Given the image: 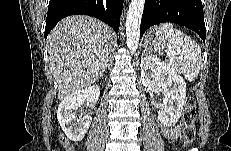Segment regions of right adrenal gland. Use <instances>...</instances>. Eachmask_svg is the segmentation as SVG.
Wrapping results in <instances>:
<instances>
[{"instance_id": "obj_1", "label": "right adrenal gland", "mask_w": 231, "mask_h": 151, "mask_svg": "<svg viewBox=\"0 0 231 151\" xmlns=\"http://www.w3.org/2000/svg\"><path fill=\"white\" fill-rule=\"evenodd\" d=\"M108 64H109V57H108L107 60H106L105 68H107Z\"/></svg>"}]
</instances>
